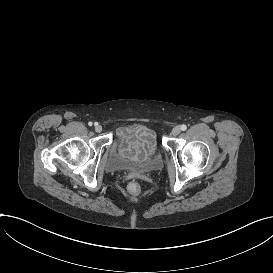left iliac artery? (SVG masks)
Masks as SVG:
<instances>
[{"instance_id":"obj_1","label":"left iliac artery","mask_w":273,"mask_h":273,"mask_svg":"<svg viewBox=\"0 0 273 273\" xmlns=\"http://www.w3.org/2000/svg\"><path fill=\"white\" fill-rule=\"evenodd\" d=\"M186 129H187V126H186V125H184V124L181 125V130H182V131H185Z\"/></svg>"}]
</instances>
